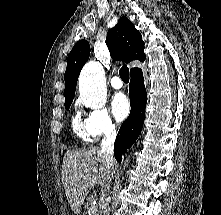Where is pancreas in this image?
Returning a JSON list of instances; mask_svg holds the SVG:
<instances>
[{"instance_id":"1","label":"pancreas","mask_w":221,"mask_h":215,"mask_svg":"<svg viewBox=\"0 0 221 215\" xmlns=\"http://www.w3.org/2000/svg\"><path fill=\"white\" fill-rule=\"evenodd\" d=\"M92 203H93V197L90 196V197H88V199H87V202H86V204H85V208L88 210L91 206H93ZM93 215H98V211L95 212Z\"/></svg>"}]
</instances>
